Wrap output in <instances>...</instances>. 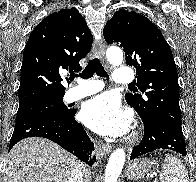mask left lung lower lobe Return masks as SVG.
Here are the masks:
<instances>
[{
  "label": "left lung lower lobe",
  "instance_id": "0a47b994",
  "mask_svg": "<svg viewBox=\"0 0 196 182\" xmlns=\"http://www.w3.org/2000/svg\"><path fill=\"white\" fill-rule=\"evenodd\" d=\"M142 121L144 137L139 145L133 148L130 159L156 149H169L186 156V145L181 127L158 116L142 119Z\"/></svg>",
  "mask_w": 196,
  "mask_h": 182
}]
</instances>
